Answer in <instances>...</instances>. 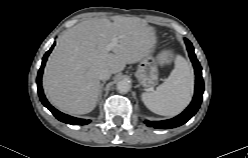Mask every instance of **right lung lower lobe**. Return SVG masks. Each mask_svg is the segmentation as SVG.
Here are the masks:
<instances>
[{
	"label": "right lung lower lobe",
	"instance_id": "right-lung-lower-lobe-1",
	"mask_svg": "<svg viewBox=\"0 0 248 158\" xmlns=\"http://www.w3.org/2000/svg\"><path fill=\"white\" fill-rule=\"evenodd\" d=\"M54 45L44 55L41 68H40V70L38 72L37 86H38V93H39L40 100L43 103V105L46 108H48L58 120H60V121H62L64 123H67V124H71V125H76V124H78V125H86V124H88L90 122V120L79 119V118H75V117H72V116H69V115L61 113L60 111L56 110L53 106H51L49 104V102L46 100L45 96H44V93H43V90H42V73H43V69H44L47 57L50 54V52L52 51Z\"/></svg>",
	"mask_w": 248,
	"mask_h": 158
}]
</instances>
